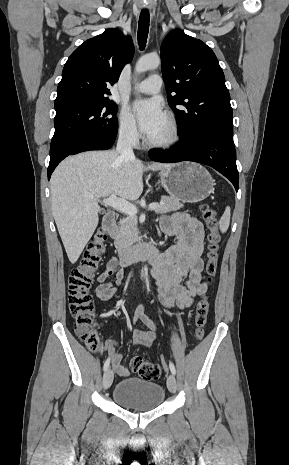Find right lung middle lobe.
<instances>
[{
  "mask_svg": "<svg viewBox=\"0 0 289 465\" xmlns=\"http://www.w3.org/2000/svg\"><path fill=\"white\" fill-rule=\"evenodd\" d=\"M55 110L50 157L87 137L117 133V105L110 99L73 101L55 105Z\"/></svg>",
  "mask_w": 289,
  "mask_h": 465,
  "instance_id": "right-lung-middle-lobe-1",
  "label": "right lung middle lobe"
}]
</instances>
